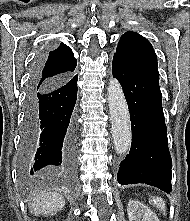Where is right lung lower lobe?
<instances>
[{
    "mask_svg": "<svg viewBox=\"0 0 190 221\" xmlns=\"http://www.w3.org/2000/svg\"><path fill=\"white\" fill-rule=\"evenodd\" d=\"M38 74L37 69L29 82L22 133L21 165L31 174L51 166L73 167L77 140L78 75L38 85Z\"/></svg>",
    "mask_w": 190,
    "mask_h": 221,
    "instance_id": "obj_1",
    "label": "right lung lower lobe"
}]
</instances>
